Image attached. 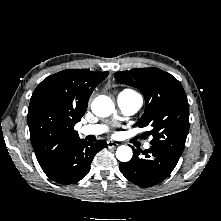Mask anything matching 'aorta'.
Returning <instances> with one entry per match:
<instances>
[{"label": "aorta", "instance_id": "aorta-1", "mask_svg": "<svg viewBox=\"0 0 221 221\" xmlns=\"http://www.w3.org/2000/svg\"><path fill=\"white\" fill-rule=\"evenodd\" d=\"M91 110L98 117H108L114 112L115 107L108 96L100 95L92 101ZM132 155V149L127 145H121L116 150V157L121 162L130 161Z\"/></svg>", "mask_w": 221, "mask_h": 221}]
</instances>
